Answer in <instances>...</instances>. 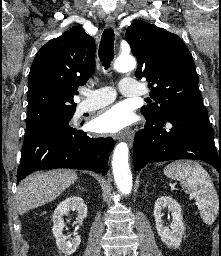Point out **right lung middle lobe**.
Wrapping results in <instances>:
<instances>
[{"mask_svg":"<svg viewBox=\"0 0 221 256\" xmlns=\"http://www.w3.org/2000/svg\"><path fill=\"white\" fill-rule=\"evenodd\" d=\"M74 109H53L27 114L26 132H30L49 122L71 119Z\"/></svg>","mask_w":221,"mask_h":256,"instance_id":"right-lung-middle-lobe-1","label":"right lung middle lobe"}]
</instances>
